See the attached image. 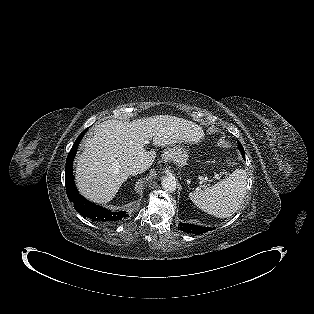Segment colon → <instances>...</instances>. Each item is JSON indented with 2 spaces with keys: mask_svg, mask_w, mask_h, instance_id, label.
I'll return each instance as SVG.
<instances>
[{
  "mask_svg": "<svg viewBox=\"0 0 314 314\" xmlns=\"http://www.w3.org/2000/svg\"><path fill=\"white\" fill-rule=\"evenodd\" d=\"M228 161H229V162H232L231 156H228Z\"/></svg>",
  "mask_w": 314,
  "mask_h": 314,
  "instance_id": "obj_1",
  "label": "colon"
}]
</instances>
